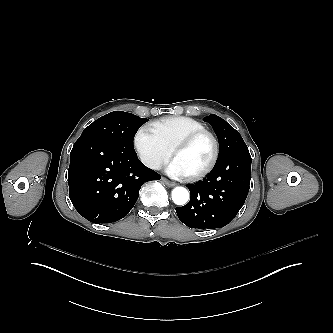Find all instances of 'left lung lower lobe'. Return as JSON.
<instances>
[{"label": "left lung lower lobe", "instance_id": "1", "mask_svg": "<svg viewBox=\"0 0 333 333\" xmlns=\"http://www.w3.org/2000/svg\"><path fill=\"white\" fill-rule=\"evenodd\" d=\"M248 149L236 151L217 161L212 171L195 184H188L191 198L176 207L179 219L191 228H219L227 225L246 200L251 172Z\"/></svg>", "mask_w": 333, "mask_h": 333}]
</instances>
